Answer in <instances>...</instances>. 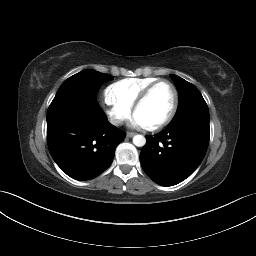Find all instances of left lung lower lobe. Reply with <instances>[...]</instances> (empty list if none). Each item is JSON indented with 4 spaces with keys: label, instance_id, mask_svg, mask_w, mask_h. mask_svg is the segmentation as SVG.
<instances>
[{
    "label": "left lung lower lobe",
    "instance_id": "0a47b994",
    "mask_svg": "<svg viewBox=\"0 0 256 256\" xmlns=\"http://www.w3.org/2000/svg\"><path fill=\"white\" fill-rule=\"evenodd\" d=\"M209 122L187 118L146 136L140 161L145 173L162 186H173L189 177L203 160L209 144Z\"/></svg>",
    "mask_w": 256,
    "mask_h": 256
}]
</instances>
